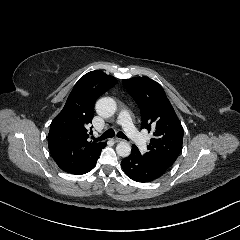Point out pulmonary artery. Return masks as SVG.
Wrapping results in <instances>:
<instances>
[{
  "instance_id": "obj_1",
  "label": "pulmonary artery",
  "mask_w": 240,
  "mask_h": 240,
  "mask_svg": "<svg viewBox=\"0 0 240 240\" xmlns=\"http://www.w3.org/2000/svg\"><path fill=\"white\" fill-rule=\"evenodd\" d=\"M130 114L127 109H124L121 114L118 116V119L116 120V123L118 125H122L124 128V132L135 141L137 147L139 149L145 148V141L148 139V136L146 134L141 135L136 129L134 128V125L132 124V121L129 119Z\"/></svg>"
}]
</instances>
